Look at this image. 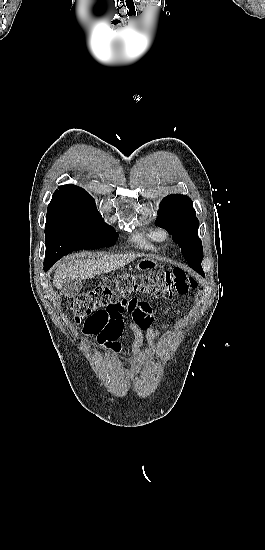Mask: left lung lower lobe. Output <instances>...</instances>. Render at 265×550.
Segmentation results:
<instances>
[{
    "instance_id": "1",
    "label": "left lung lower lobe",
    "mask_w": 265,
    "mask_h": 550,
    "mask_svg": "<svg viewBox=\"0 0 265 550\" xmlns=\"http://www.w3.org/2000/svg\"><path fill=\"white\" fill-rule=\"evenodd\" d=\"M194 270L197 271V272H198L200 275H202L203 277L205 276L202 269H194Z\"/></svg>"
}]
</instances>
